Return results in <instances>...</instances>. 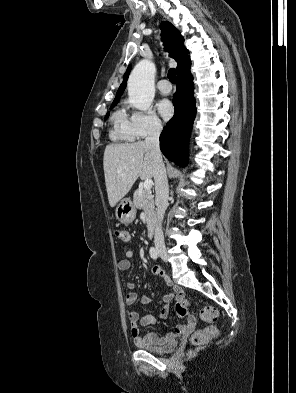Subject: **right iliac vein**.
I'll return each instance as SVG.
<instances>
[{
  "instance_id": "63e3f726",
  "label": "right iliac vein",
  "mask_w": 296,
  "mask_h": 393,
  "mask_svg": "<svg viewBox=\"0 0 296 393\" xmlns=\"http://www.w3.org/2000/svg\"><path fill=\"white\" fill-rule=\"evenodd\" d=\"M157 252L164 261H167L168 253L165 247H158Z\"/></svg>"
}]
</instances>
